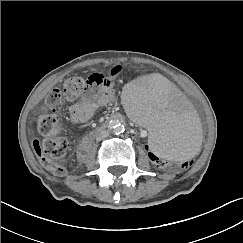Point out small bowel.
Masks as SVG:
<instances>
[{"label":"small bowel","mask_w":243,"mask_h":243,"mask_svg":"<svg viewBox=\"0 0 243 243\" xmlns=\"http://www.w3.org/2000/svg\"><path fill=\"white\" fill-rule=\"evenodd\" d=\"M114 100V91L109 85H96L80 101L70 106V118L74 124L87 122L95 111Z\"/></svg>","instance_id":"obj_1"}]
</instances>
